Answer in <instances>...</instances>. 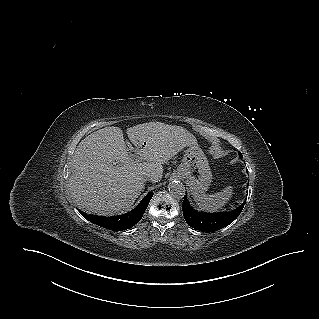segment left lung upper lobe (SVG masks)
Masks as SVG:
<instances>
[{"label": "left lung upper lobe", "instance_id": "1", "mask_svg": "<svg viewBox=\"0 0 319 319\" xmlns=\"http://www.w3.org/2000/svg\"><path fill=\"white\" fill-rule=\"evenodd\" d=\"M239 156H240V157H242V154H241V152H239Z\"/></svg>", "mask_w": 319, "mask_h": 319}]
</instances>
